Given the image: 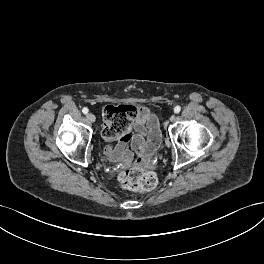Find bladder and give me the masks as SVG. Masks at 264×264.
Listing matches in <instances>:
<instances>
[{
  "label": "bladder",
  "instance_id": "obj_1",
  "mask_svg": "<svg viewBox=\"0 0 264 264\" xmlns=\"http://www.w3.org/2000/svg\"><path fill=\"white\" fill-rule=\"evenodd\" d=\"M160 147H161V139H160V141H159V144H158V149H160Z\"/></svg>",
  "mask_w": 264,
  "mask_h": 264
}]
</instances>
